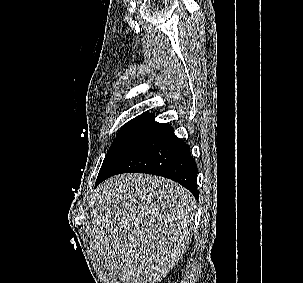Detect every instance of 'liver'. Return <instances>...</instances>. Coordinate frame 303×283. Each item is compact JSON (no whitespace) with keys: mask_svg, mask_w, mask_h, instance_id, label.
Instances as JSON below:
<instances>
[{"mask_svg":"<svg viewBox=\"0 0 303 283\" xmlns=\"http://www.w3.org/2000/svg\"><path fill=\"white\" fill-rule=\"evenodd\" d=\"M195 198L179 184L122 174L95 194L90 234L109 274L123 283H157L188 248Z\"/></svg>","mask_w":303,"mask_h":283,"instance_id":"liver-1","label":"liver"}]
</instances>
